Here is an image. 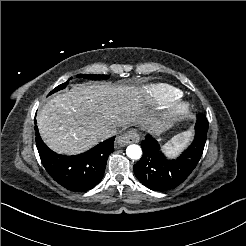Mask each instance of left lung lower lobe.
<instances>
[{"mask_svg": "<svg viewBox=\"0 0 246 246\" xmlns=\"http://www.w3.org/2000/svg\"><path fill=\"white\" fill-rule=\"evenodd\" d=\"M208 121L197 116L195 138L177 159L168 160L158 142L150 135L141 142L143 156L133 167L138 180L155 191H167L180 185L198 164L206 143Z\"/></svg>", "mask_w": 246, "mask_h": 246, "instance_id": "0a47b994", "label": "left lung lower lobe"}]
</instances>
